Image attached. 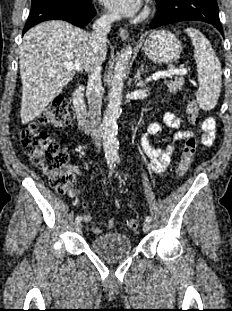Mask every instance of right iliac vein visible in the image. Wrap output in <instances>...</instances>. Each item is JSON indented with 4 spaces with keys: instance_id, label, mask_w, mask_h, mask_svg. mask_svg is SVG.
<instances>
[{
    "instance_id": "right-iliac-vein-1",
    "label": "right iliac vein",
    "mask_w": 232,
    "mask_h": 311,
    "mask_svg": "<svg viewBox=\"0 0 232 311\" xmlns=\"http://www.w3.org/2000/svg\"><path fill=\"white\" fill-rule=\"evenodd\" d=\"M81 229H82V224L79 222L76 224V230L81 231Z\"/></svg>"
}]
</instances>
